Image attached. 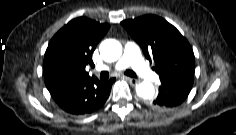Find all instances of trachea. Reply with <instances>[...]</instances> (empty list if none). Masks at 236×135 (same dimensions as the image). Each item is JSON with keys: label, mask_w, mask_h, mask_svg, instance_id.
<instances>
[{"label": "trachea", "mask_w": 236, "mask_h": 135, "mask_svg": "<svg viewBox=\"0 0 236 135\" xmlns=\"http://www.w3.org/2000/svg\"><path fill=\"white\" fill-rule=\"evenodd\" d=\"M124 74L125 75H127V76H129V77H137V75L133 72V71H131V70H126L125 72H124ZM100 78H101V80H106V79H108L109 78V73L107 72V71H103V72H101L100 73Z\"/></svg>", "instance_id": "trachea-1"}]
</instances>
